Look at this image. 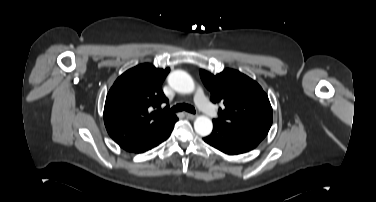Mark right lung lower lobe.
<instances>
[{
    "label": "right lung lower lobe",
    "instance_id": "1",
    "mask_svg": "<svg viewBox=\"0 0 376 202\" xmlns=\"http://www.w3.org/2000/svg\"><path fill=\"white\" fill-rule=\"evenodd\" d=\"M178 120L176 115H174L164 126L161 128L153 131L148 136L143 138L142 140L124 147L126 151L134 152V153H143L156 147L170 136L174 123Z\"/></svg>",
    "mask_w": 376,
    "mask_h": 202
}]
</instances>
